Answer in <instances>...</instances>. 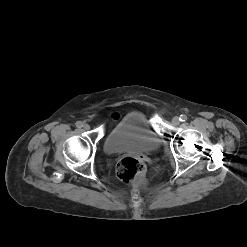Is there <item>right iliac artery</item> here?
<instances>
[{
	"label": "right iliac artery",
	"mask_w": 247,
	"mask_h": 247,
	"mask_svg": "<svg viewBox=\"0 0 247 247\" xmlns=\"http://www.w3.org/2000/svg\"><path fill=\"white\" fill-rule=\"evenodd\" d=\"M76 126H77L78 128H81V127L83 126V124H82L81 121H78V122H76Z\"/></svg>",
	"instance_id": "82829eb1"
}]
</instances>
